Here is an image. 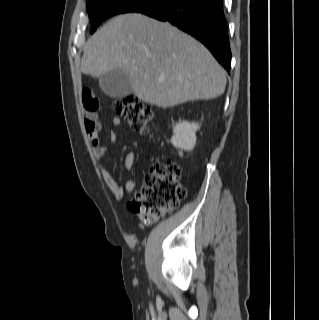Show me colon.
<instances>
[{"mask_svg":"<svg viewBox=\"0 0 319 320\" xmlns=\"http://www.w3.org/2000/svg\"><path fill=\"white\" fill-rule=\"evenodd\" d=\"M116 112L138 133L145 134L153 119L149 106L130 95L114 102ZM186 197L181 168L171 162H154L145 177V182L128 208L136 213L144 224H153L161 216L175 210Z\"/></svg>","mask_w":319,"mask_h":320,"instance_id":"obj_1","label":"colon"}]
</instances>
